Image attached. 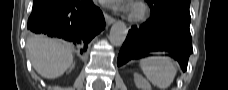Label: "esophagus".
I'll use <instances>...</instances> for the list:
<instances>
[{
  "label": "esophagus",
  "instance_id": "34e87169",
  "mask_svg": "<svg viewBox=\"0 0 228 90\" xmlns=\"http://www.w3.org/2000/svg\"><path fill=\"white\" fill-rule=\"evenodd\" d=\"M104 16H105V21L107 25H111L112 23L115 22V19L112 16L108 14H105Z\"/></svg>",
  "mask_w": 228,
  "mask_h": 90
}]
</instances>
